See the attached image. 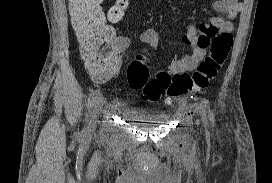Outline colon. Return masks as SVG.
Instances as JSON below:
<instances>
[{"instance_id":"obj_1","label":"colon","mask_w":272,"mask_h":183,"mask_svg":"<svg viewBox=\"0 0 272 183\" xmlns=\"http://www.w3.org/2000/svg\"><path fill=\"white\" fill-rule=\"evenodd\" d=\"M102 2L103 0H69L71 23L81 57L88 72L96 79L107 78L111 69L119 64V56L112 44L113 31L107 20L121 21L128 6V0H116L106 16L102 11ZM208 45L209 54L192 73L171 75L168 72H160L151 77L144 60L141 57L137 58L127 69L130 87L140 90L142 98L149 102L205 90L227 60L232 37L226 32L213 34V39H209Z\"/></svg>"}]
</instances>
